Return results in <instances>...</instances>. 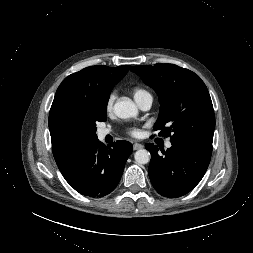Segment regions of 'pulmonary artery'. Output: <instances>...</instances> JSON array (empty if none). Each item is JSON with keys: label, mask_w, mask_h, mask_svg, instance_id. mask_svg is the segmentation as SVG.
Masks as SVG:
<instances>
[{"label": "pulmonary artery", "mask_w": 253, "mask_h": 253, "mask_svg": "<svg viewBox=\"0 0 253 253\" xmlns=\"http://www.w3.org/2000/svg\"><path fill=\"white\" fill-rule=\"evenodd\" d=\"M152 102H153V98L151 95H146L140 98L139 100H136V103L138 104L140 109L144 111L149 110L151 108ZM110 133H111V130L109 129H101L98 131V137L100 139H104ZM165 146L166 148H171L172 144L171 142L168 141Z\"/></svg>", "instance_id": "1"}]
</instances>
